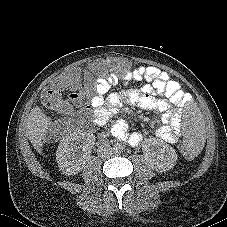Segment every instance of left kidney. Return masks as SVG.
Listing matches in <instances>:
<instances>
[{
	"label": "left kidney",
	"instance_id": "obj_1",
	"mask_svg": "<svg viewBox=\"0 0 227 227\" xmlns=\"http://www.w3.org/2000/svg\"><path fill=\"white\" fill-rule=\"evenodd\" d=\"M144 157L149 166L157 172H166L173 168L177 161L175 150L160 139H149L144 146Z\"/></svg>",
	"mask_w": 227,
	"mask_h": 227
}]
</instances>
